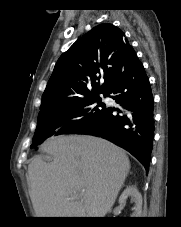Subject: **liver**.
Listing matches in <instances>:
<instances>
[{
  "label": "liver",
  "instance_id": "1",
  "mask_svg": "<svg viewBox=\"0 0 181 227\" xmlns=\"http://www.w3.org/2000/svg\"><path fill=\"white\" fill-rule=\"evenodd\" d=\"M28 166L37 217H104L130 170L125 151L102 138L75 135L47 140Z\"/></svg>",
  "mask_w": 181,
  "mask_h": 227
}]
</instances>
